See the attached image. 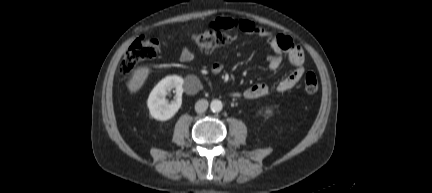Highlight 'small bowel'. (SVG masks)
Wrapping results in <instances>:
<instances>
[{
    "label": "small bowel",
    "instance_id": "1",
    "mask_svg": "<svg viewBox=\"0 0 432 193\" xmlns=\"http://www.w3.org/2000/svg\"><path fill=\"white\" fill-rule=\"evenodd\" d=\"M214 23L219 24L229 31H241L249 35H256L263 38L271 49L268 56V65L271 70H276L282 66L283 56L286 55L288 61L295 69L285 78L280 80L274 88L263 84L255 83L243 92L232 93L233 97L245 99H257L270 94L273 90L285 92L292 89L304 74V52L300 46L295 44L291 38L285 35L273 34L262 26L246 19L221 18ZM194 58V51L190 47H184L179 52L181 62H190ZM224 65L221 62H213L210 65V72L214 75L223 71ZM185 89L188 94H195L199 90V82L195 77L186 79Z\"/></svg>",
    "mask_w": 432,
    "mask_h": 193
}]
</instances>
